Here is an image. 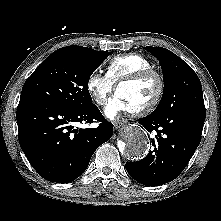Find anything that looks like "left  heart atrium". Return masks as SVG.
<instances>
[{"label": "left heart atrium", "instance_id": "39dd6f15", "mask_svg": "<svg viewBox=\"0 0 221 221\" xmlns=\"http://www.w3.org/2000/svg\"><path fill=\"white\" fill-rule=\"evenodd\" d=\"M104 111L107 117L113 119L123 112L132 110L125 100L119 94H116L108 101Z\"/></svg>", "mask_w": 221, "mask_h": 221}]
</instances>
